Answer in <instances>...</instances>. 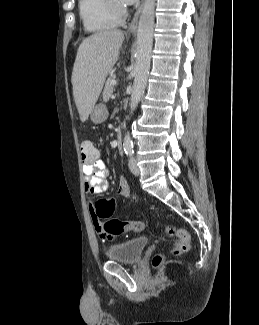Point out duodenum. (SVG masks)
Wrapping results in <instances>:
<instances>
[{
    "label": "duodenum",
    "instance_id": "obj_1",
    "mask_svg": "<svg viewBox=\"0 0 259 325\" xmlns=\"http://www.w3.org/2000/svg\"><path fill=\"white\" fill-rule=\"evenodd\" d=\"M117 148L121 149L122 148V136L121 133L118 131L117 133V140H116Z\"/></svg>",
    "mask_w": 259,
    "mask_h": 325
}]
</instances>
